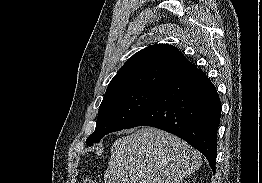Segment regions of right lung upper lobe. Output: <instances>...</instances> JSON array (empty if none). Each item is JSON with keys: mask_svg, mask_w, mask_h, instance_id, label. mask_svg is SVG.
<instances>
[{"mask_svg": "<svg viewBox=\"0 0 262 183\" xmlns=\"http://www.w3.org/2000/svg\"><path fill=\"white\" fill-rule=\"evenodd\" d=\"M197 69L176 47L150 45L135 53L110 81L106 94L137 90H159ZM105 94V95H106Z\"/></svg>", "mask_w": 262, "mask_h": 183, "instance_id": "cb5924a9", "label": "right lung upper lobe"}]
</instances>
